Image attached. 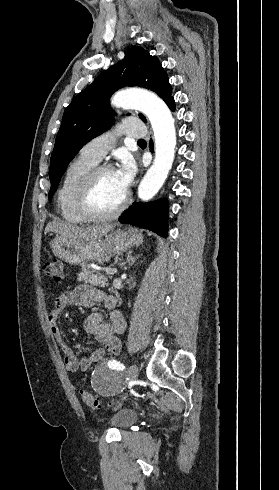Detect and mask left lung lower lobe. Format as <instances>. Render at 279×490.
I'll list each match as a JSON object with an SVG mask.
<instances>
[{"label": "left lung lower lobe", "mask_w": 279, "mask_h": 490, "mask_svg": "<svg viewBox=\"0 0 279 490\" xmlns=\"http://www.w3.org/2000/svg\"><path fill=\"white\" fill-rule=\"evenodd\" d=\"M171 110L175 109L173 97L166 103ZM152 150V142H150ZM168 203L166 199H159L150 203H134L119 218V222L135 227L149 229L160 236L166 237Z\"/></svg>", "instance_id": "1"}]
</instances>
